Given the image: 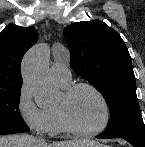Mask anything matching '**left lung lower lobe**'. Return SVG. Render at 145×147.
Returning <instances> with one entry per match:
<instances>
[{
    "instance_id": "1",
    "label": "left lung lower lobe",
    "mask_w": 145,
    "mask_h": 147,
    "mask_svg": "<svg viewBox=\"0 0 145 147\" xmlns=\"http://www.w3.org/2000/svg\"><path fill=\"white\" fill-rule=\"evenodd\" d=\"M99 139H108V138H115L111 136H105L103 134H100L97 136ZM127 140L133 147H145V140H140L136 138H131V137H121Z\"/></svg>"
}]
</instances>
